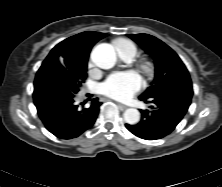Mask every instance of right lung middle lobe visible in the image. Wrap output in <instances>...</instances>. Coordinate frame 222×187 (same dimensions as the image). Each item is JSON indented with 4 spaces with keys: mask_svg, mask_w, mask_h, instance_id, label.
<instances>
[{
    "mask_svg": "<svg viewBox=\"0 0 222 187\" xmlns=\"http://www.w3.org/2000/svg\"><path fill=\"white\" fill-rule=\"evenodd\" d=\"M70 74L72 79L76 82L78 86H81V82L87 77V62L86 61H76L74 59L66 60L63 58L56 59V61ZM53 63V62H52ZM49 62H43L40 69L48 66ZM39 71V70H38ZM38 73V72H37Z\"/></svg>",
    "mask_w": 222,
    "mask_h": 187,
    "instance_id": "obj_1",
    "label": "right lung middle lobe"
}]
</instances>
